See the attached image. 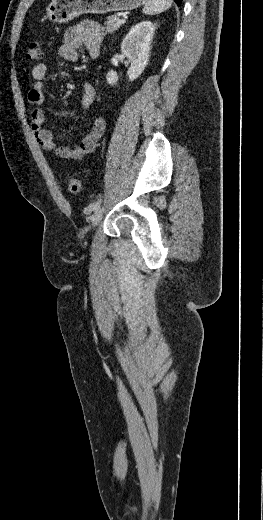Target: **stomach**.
<instances>
[{
	"instance_id": "1",
	"label": "stomach",
	"mask_w": 263,
	"mask_h": 520,
	"mask_svg": "<svg viewBox=\"0 0 263 520\" xmlns=\"http://www.w3.org/2000/svg\"><path fill=\"white\" fill-rule=\"evenodd\" d=\"M146 0H52L46 9V18L56 23H66L87 13L105 14L132 10Z\"/></svg>"
}]
</instances>
